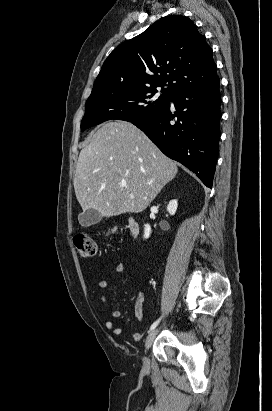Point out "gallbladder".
Instances as JSON below:
<instances>
[{
    "label": "gallbladder",
    "instance_id": "bac80fb5",
    "mask_svg": "<svg viewBox=\"0 0 272 411\" xmlns=\"http://www.w3.org/2000/svg\"><path fill=\"white\" fill-rule=\"evenodd\" d=\"M78 220L81 226L89 227L99 223L102 220V216L95 209H87L79 215Z\"/></svg>",
    "mask_w": 272,
    "mask_h": 411
}]
</instances>
